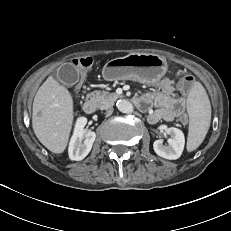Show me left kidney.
I'll return each instance as SVG.
<instances>
[{"instance_id":"5707ae66","label":"left kidney","mask_w":231,"mask_h":231,"mask_svg":"<svg viewBox=\"0 0 231 231\" xmlns=\"http://www.w3.org/2000/svg\"><path fill=\"white\" fill-rule=\"evenodd\" d=\"M159 130L165 131L170 138L167 140L168 145H164L162 140H156L153 143L155 153L168 160L178 159L185 145L184 133L178 128L167 127L166 125H161Z\"/></svg>"}]
</instances>
